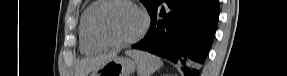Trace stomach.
I'll use <instances>...</instances> for the list:
<instances>
[{"mask_svg":"<svg viewBox=\"0 0 287 76\" xmlns=\"http://www.w3.org/2000/svg\"><path fill=\"white\" fill-rule=\"evenodd\" d=\"M135 62L127 57H112L98 67L91 76H129L135 71Z\"/></svg>","mask_w":287,"mask_h":76,"instance_id":"stomach-1","label":"stomach"}]
</instances>
